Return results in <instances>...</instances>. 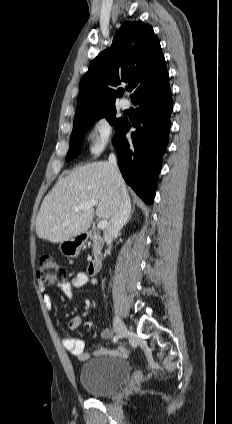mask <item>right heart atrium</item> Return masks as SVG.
I'll return each mask as SVG.
<instances>
[{"label": "right heart atrium", "instance_id": "1", "mask_svg": "<svg viewBox=\"0 0 232 424\" xmlns=\"http://www.w3.org/2000/svg\"><path fill=\"white\" fill-rule=\"evenodd\" d=\"M114 128L106 116L98 117L88 132V150L92 156H99L112 142Z\"/></svg>", "mask_w": 232, "mask_h": 424}]
</instances>
